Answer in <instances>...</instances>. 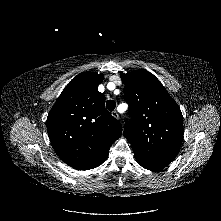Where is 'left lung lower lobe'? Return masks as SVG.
<instances>
[{"label":"left lung lower lobe","instance_id":"0a47b994","mask_svg":"<svg viewBox=\"0 0 221 221\" xmlns=\"http://www.w3.org/2000/svg\"><path fill=\"white\" fill-rule=\"evenodd\" d=\"M135 158H136V161L139 163V165H141L143 168L148 169L150 171H160L167 166L165 164L149 162L138 157H135Z\"/></svg>","mask_w":221,"mask_h":221}]
</instances>
